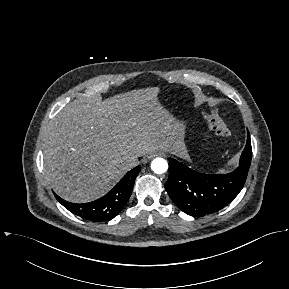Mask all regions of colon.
<instances>
[{"mask_svg":"<svg viewBox=\"0 0 289 289\" xmlns=\"http://www.w3.org/2000/svg\"><path fill=\"white\" fill-rule=\"evenodd\" d=\"M207 120L210 129L218 136L228 137L231 132L216 111H211L207 114Z\"/></svg>","mask_w":289,"mask_h":289,"instance_id":"1","label":"colon"}]
</instances>
